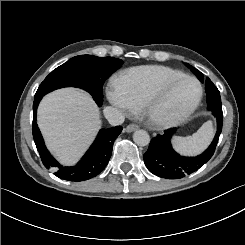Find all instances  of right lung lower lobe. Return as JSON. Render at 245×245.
<instances>
[{"label":"right lung lower lobe","instance_id":"obj_1","mask_svg":"<svg viewBox=\"0 0 245 245\" xmlns=\"http://www.w3.org/2000/svg\"><path fill=\"white\" fill-rule=\"evenodd\" d=\"M43 96L35 97L33 104V138L44 166L55 170V175L68 181H84L97 176L104 170L112 154L114 140L122 131L121 126L100 130L96 140L83 156L72 167L61 166L44 145L40 130L36 123L37 107Z\"/></svg>","mask_w":245,"mask_h":245}]
</instances>
